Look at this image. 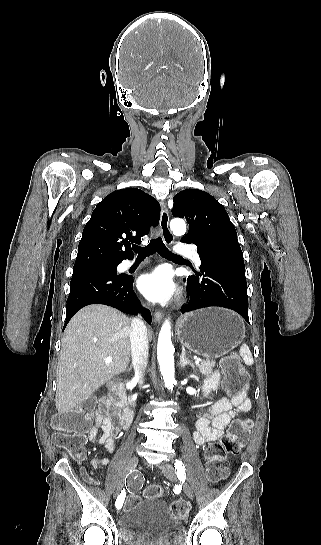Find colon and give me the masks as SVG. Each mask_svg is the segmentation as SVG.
Masks as SVG:
<instances>
[{
    "label": "colon",
    "instance_id": "colon-1",
    "mask_svg": "<svg viewBox=\"0 0 321 545\" xmlns=\"http://www.w3.org/2000/svg\"><path fill=\"white\" fill-rule=\"evenodd\" d=\"M223 387L230 395L246 393L249 387V376L235 357H228L222 361ZM95 406L94 400H86L80 407L58 413L53 419L56 430L53 443L56 447L67 450L76 460H83L86 456L85 432L91 422V412ZM250 419H238L232 422L226 436L210 444L205 451L206 474L210 482H218L228 474L227 455L238 454L248 441L252 428ZM92 481L90 477H87ZM164 490L161 486L150 485L144 490V495L159 498ZM141 498L135 494H128L123 501V509H130L140 502ZM172 514L180 519L187 516V507L183 503L175 502L171 505Z\"/></svg>",
    "mask_w": 321,
    "mask_h": 545
}]
</instances>
